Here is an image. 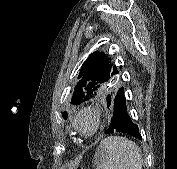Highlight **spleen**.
<instances>
[{"mask_svg": "<svg viewBox=\"0 0 177 169\" xmlns=\"http://www.w3.org/2000/svg\"><path fill=\"white\" fill-rule=\"evenodd\" d=\"M94 164L96 169H142L143 159L135 142L110 136L101 141Z\"/></svg>", "mask_w": 177, "mask_h": 169, "instance_id": "3e777b00", "label": "spleen"}]
</instances>
